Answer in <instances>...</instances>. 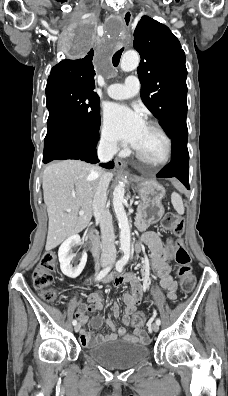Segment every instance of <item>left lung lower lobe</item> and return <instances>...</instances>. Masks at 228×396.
Masks as SVG:
<instances>
[{
  "instance_id": "0a47b994",
  "label": "left lung lower lobe",
  "mask_w": 228,
  "mask_h": 396,
  "mask_svg": "<svg viewBox=\"0 0 228 396\" xmlns=\"http://www.w3.org/2000/svg\"><path fill=\"white\" fill-rule=\"evenodd\" d=\"M187 112L174 116L164 128L172 140V159L156 176L163 178L175 177L189 189V153L187 149L188 129Z\"/></svg>"
}]
</instances>
